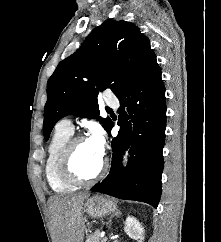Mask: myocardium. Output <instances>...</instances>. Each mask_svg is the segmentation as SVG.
<instances>
[{"instance_id": "myocardium-1", "label": "myocardium", "mask_w": 221, "mask_h": 242, "mask_svg": "<svg viewBox=\"0 0 221 242\" xmlns=\"http://www.w3.org/2000/svg\"><path fill=\"white\" fill-rule=\"evenodd\" d=\"M84 140H86L84 136H75L71 138L63 150L59 163V173L61 177L65 181L74 185H85L99 180L104 175L108 165L107 159L103 157L101 165L94 175L90 177H83L75 171L73 166L75 149L77 144Z\"/></svg>"}]
</instances>
